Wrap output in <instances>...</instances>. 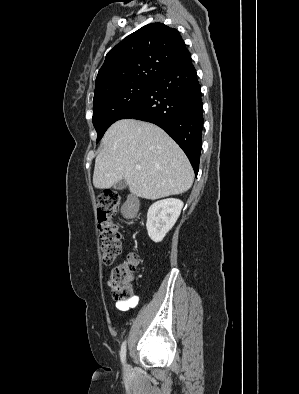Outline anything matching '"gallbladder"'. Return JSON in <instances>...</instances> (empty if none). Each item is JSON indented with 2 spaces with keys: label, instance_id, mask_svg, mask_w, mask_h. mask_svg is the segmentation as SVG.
Instances as JSON below:
<instances>
[{
  "label": "gallbladder",
  "instance_id": "bac80fb5",
  "mask_svg": "<svg viewBox=\"0 0 299 394\" xmlns=\"http://www.w3.org/2000/svg\"><path fill=\"white\" fill-rule=\"evenodd\" d=\"M126 186H127V182L123 178L120 181H118L117 183H115L114 188L118 189V190H122V189L126 188Z\"/></svg>",
  "mask_w": 299,
  "mask_h": 394
}]
</instances>
